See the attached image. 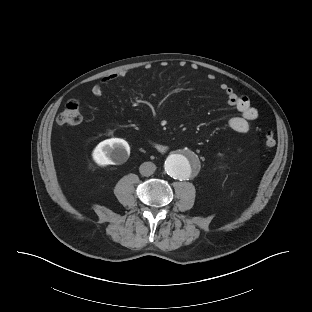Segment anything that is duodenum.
<instances>
[{"mask_svg":"<svg viewBox=\"0 0 312 312\" xmlns=\"http://www.w3.org/2000/svg\"><path fill=\"white\" fill-rule=\"evenodd\" d=\"M154 148L159 152H165L167 150V147L160 143H153Z\"/></svg>","mask_w":312,"mask_h":312,"instance_id":"1","label":"duodenum"}]
</instances>
